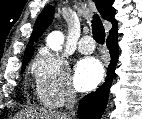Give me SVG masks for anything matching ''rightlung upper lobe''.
I'll use <instances>...</instances> for the list:
<instances>
[{"mask_svg":"<svg viewBox=\"0 0 142 119\" xmlns=\"http://www.w3.org/2000/svg\"><path fill=\"white\" fill-rule=\"evenodd\" d=\"M96 7L100 13V15L110 21L112 23V29L110 30V33H116L117 32V21L115 19V9L112 7L113 0H94ZM54 16V8L52 6L46 7L38 16L34 29L30 38V42L27 45V48L24 53L23 63L26 61H29L30 57L32 56L34 52V46L33 43L37 42L39 37L42 35V33L45 31V29L50 25L52 22Z\"/></svg>","mask_w":142,"mask_h":119,"instance_id":"cb5924a9","label":"right lung upper lobe"}]
</instances>
